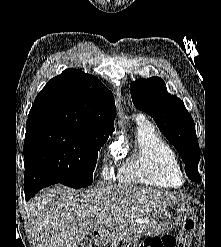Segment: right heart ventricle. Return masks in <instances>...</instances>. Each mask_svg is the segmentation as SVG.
<instances>
[{"label": "right heart ventricle", "instance_id": "e07e8e85", "mask_svg": "<svg viewBox=\"0 0 221 247\" xmlns=\"http://www.w3.org/2000/svg\"><path fill=\"white\" fill-rule=\"evenodd\" d=\"M118 180L161 188H178L183 183L176 153L143 119L138 120L135 149L120 166Z\"/></svg>", "mask_w": 221, "mask_h": 247}]
</instances>
